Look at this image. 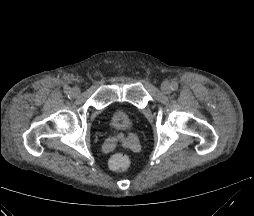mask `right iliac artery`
<instances>
[{
  "mask_svg": "<svg viewBox=\"0 0 254 216\" xmlns=\"http://www.w3.org/2000/svg\"><path fill=\"white\" fill-rule=\"evenodd\" d=\"M64 92H65L66 94H71V88H70V87H65V88H64Z\"/></svg>",
  "mask_w": 254,
  "mask_h": 216,
  "instance_id": "82829eb1",
  "label": "right iliac artery"
}]
</instances>
